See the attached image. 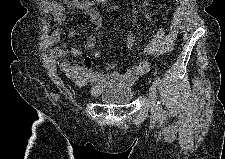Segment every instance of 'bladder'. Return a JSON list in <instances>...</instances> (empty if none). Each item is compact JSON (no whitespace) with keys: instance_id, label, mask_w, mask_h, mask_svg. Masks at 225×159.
Returning a JSON list of instances; mask_svg holds the SVG:
<instances>
[{"instance_id":"31cf9c89","label":"bladder","mask_w":225,"mask_h":159,"mask_svg":"<svg viewBox=\"0 0 225 159\" xmlns=\"http://www.w3.org/2000/svg\"><path fill=\"white\" fill-rule=\"evenodd\" d=\"M134 98V90L127 86L115 85L100 93V100L110 105H126Z\"/></svg>"}]
</instances>
